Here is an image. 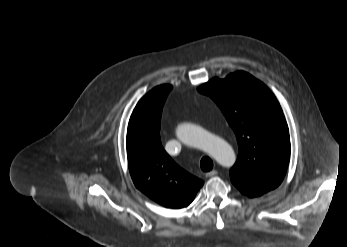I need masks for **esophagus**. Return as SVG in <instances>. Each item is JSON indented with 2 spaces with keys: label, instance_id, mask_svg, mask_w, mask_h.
<instances>
[{
  "label": "esophagus",
  "instance_id": "obj_1",
  "mask_svg": "<svg viewBox=\"0 0 347 247\" xmlns=\"http://www.w3.org/2000/svg\"><path fill=\"white\" fill-rule=\"evenodd\" d=\"M217 174L218 172L216 170H212L206 173V177H213V176H216Z\"/></svg>",
  "mask_w": 347,
  "mask_h": 247
}]
</instances>
